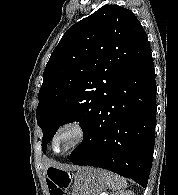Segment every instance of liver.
<instances>
[{
    "instance_id": "obj_1",
    "label": "liver",
    "mask_w": 178,
    "mask_h": 195,
    "mask_svg": "<svg viewBox=\"0 0 178 195\" xmlns=\"http://www.w3.org/2000/svg\"><path fill=\"white\" fill-rule=\"evenodd\" d=\"M49 166L58 167V165L55 162H53L51 160H47L45 167L48 168Z\"/></svg>"
}]
</instances>
